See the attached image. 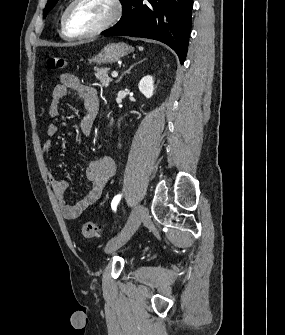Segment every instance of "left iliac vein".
<instances>
[{
  "label": "left iliac vein",
  "instance_id": "left-iliac-vein-1",
  "mask_svg": "<svg viewBox=\"0 0 285 335\" xmlns=\"http://www.w3.org/2000/svg\"><path fill=\"white\" fill-rule=\"evenodd\" d=\"M148 213L144 206L136 205L122 229L121 233L110 240L105 246L106 253H113L123 246L134 234L140 223L146 220Z\"/></svg>",
  "mask_w": 285,
  "mask_h": 335
}]
</instances>
